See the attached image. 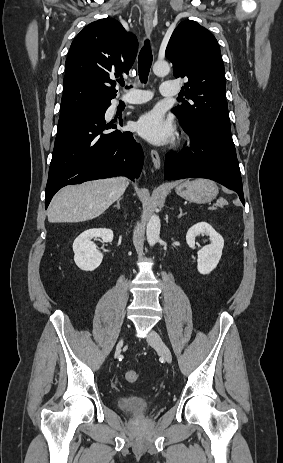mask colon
Returning a JSON list of instances; mask_svg holds the SVG:
<instances>
[{"label": "colon", "instance_id": "colon-1", "mask_svg": "<svg viewBox=\"0 0 283 463\" xmlns=\"http://www.w3.org/2000/svg\"><path fill=\"white\" fill-rule=\"evenodd\" d=\"M124 377H125L126 381L130 382V383H135L139 379L138 373L135 370H127V371H125Z\"/></svg>", "mask_w": 283, "mask_h": 463}]
</instances>
